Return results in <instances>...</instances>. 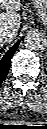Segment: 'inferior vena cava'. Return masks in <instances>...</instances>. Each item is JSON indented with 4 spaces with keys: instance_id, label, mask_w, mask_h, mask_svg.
Segmentation results:
<instances>
[{
    "instance_id": "obj_1",
    "label": "inferior vena cava",
    "mask_w": 47,
    "mask_h": 129,
    "mask_svg": "<svg viewBox=\"0 0 47 129\" xmlns=\"http://www.w3.org/2000/svg\"><path fill=\"white\" fill-rule=\"evenodd\" d=\"M15 37H16L15 33L11 30L2 29L0 31V41L1 42H10V41L14 40Z\"/></svg>"
}]
</instances>
